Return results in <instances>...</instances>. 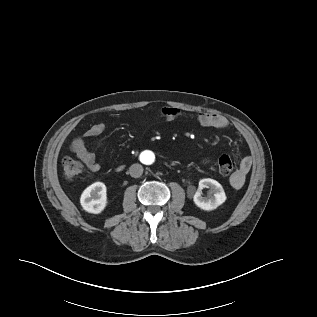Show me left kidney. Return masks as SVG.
I'll use <instances>...</instances> for the list:
<instances>
[{"mask_svg":"<svg viewBox=\"0 0 317 317\" xmlns=\"http://www.w3.org/2000/svg\"><path fill=\"white\" fill-rule=\"evenodd\" d=\"M207 187L210 188V193H212L213 196H202V189ZM225 200L226 195L219 182L210 178L201 179L199 181L198 190L193 197V201L197 207L205 211H211L223 204Z\"/></svg>","mask_w":317,"mask_h":317,"instance_id":"left-kidney-1","label":"left kidney"}]
</instances>
